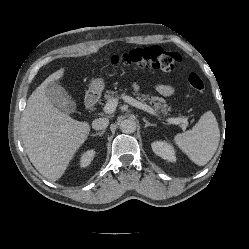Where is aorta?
Listing matches in <instances>:
<instances>
[{"mask_svg": "<svg viewBox=\"0 0 249 249\" xmlns=\"http://www.w3.org/2000/svg\"><path fill=\"white\" fill-rule=\"evenodd\" d=\"M120 130L123 133L131 134L136 130V123L132 119H125L120 123Z\"/></svg>", "mask_w": 249, "mask_h": 249, "instance_id": "1", "label": "aorta"}]
</instances>
